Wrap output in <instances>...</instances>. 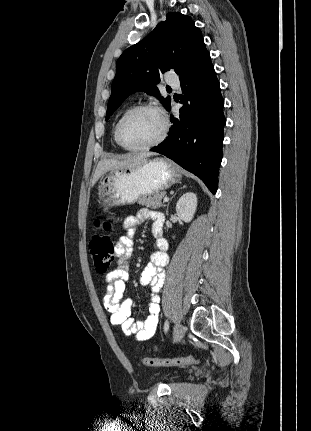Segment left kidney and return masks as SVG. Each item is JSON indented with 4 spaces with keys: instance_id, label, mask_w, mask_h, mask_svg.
I'll return each mask as SVG.
<instances>
[{
    "instance_id": "5707ae66",
    "label": "left kidney",
    "mask_w": 311,
    "mask_h": 431,
    "mask_svg": "<svg viewBox=\"0 0 311 431\" xmlns=\"http://www.w3.org/2000/svg\"><path fill=\"white\" fill-rule=\"evenodd\" d=\"M197 210V196L193 192H187L179 198L176 204V214L183 221H191Z\"/></svg>"
}]
</instances>
